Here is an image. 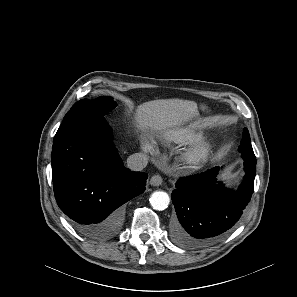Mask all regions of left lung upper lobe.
<instances>
[{
	"label": "left lung upper lobe",
	"instance_id": "obj_1",
	"mask_svg": "<svg viewBox=\"0 0 297 297\" xmlns=\"http://www.w3.org/2000/svg\"><path fill=\"white\" fill-rule=\"evenodd\" d=\"M238 150L240 153H246V154L254 153L252 146H251L250 135H249L247 128H244L241 144H240Z\"/></svg>",
	"mask_w": 297,
	"mask_h": 297
}]
</instances>
